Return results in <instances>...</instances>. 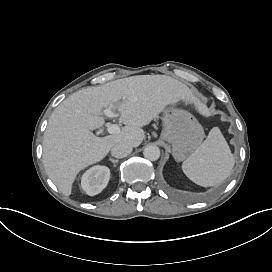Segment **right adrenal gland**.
<instances>
[{
    "mask_svg": "<svg viewBox=\"0 0 272 272\" xmlns=\"http://www.w3.org/2000/svg\"><path fill=\"white\" fill-rule=\"evenodd\" d=\"M109 161H111L112 163H118L119 162L118 159H112V158H109Z\"/></svg>",
    "mask_w": 272,
    "mask_h": 272,
    "instance_id": "obj_1",
    "label": "right adrenal gland"
}]
</instances>
